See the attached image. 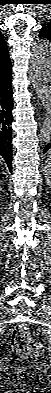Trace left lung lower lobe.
<instances>
[{"label":"left lung lower lobe","mask_w":51,"mask_h":393,"mask_svg":"<svg viewBox=\"0 0 51 393\" xmlns=\"http://www.w3.org/2000/svg\"><path fill=\"white\" fill-rule=\"evenodd\" d=\"M48 149H51V143L46 145V147L44 148L43 153H45Z\"/></svg>","instance_id":"left-lung-lower-lobe-1"}]
</instances>
